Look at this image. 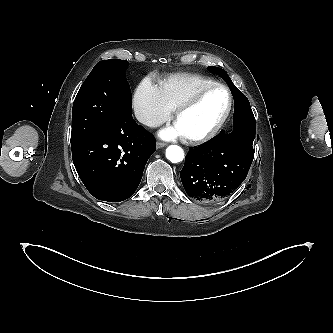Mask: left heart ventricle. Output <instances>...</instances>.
Listing matches in <instances>:
<instances>
[{
	"instance_id": "left-heart-ventricle-1",
	"label": "left heart ventricle",
	"mask_w": 333,
	"mask_h": 333,
	"mask_svg": "<svg viewBox=\"0 0 333 333\" xmlns=\"http://www.w3.org/2000/svg\"><path fill=\"white\" fill-rule=\"evenodd\" d=\"M228 105L227 92L222 88L208 92L197 105L185 112L176 125L184 136L206 133L221 119Z\"/></svg>"
}]
</instances>
